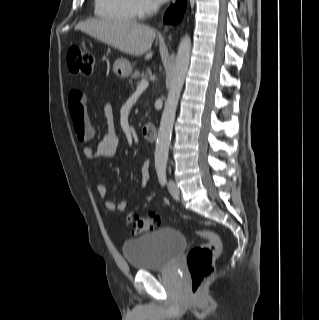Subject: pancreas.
<instances>
[{
    "label": "pancreas",
    "instance_id": "obj_1",
    "mask_svg": "<svg viewBox=\"0 0 319 320\" xmlns=\"http://www.w3.org/2000/svg\"><path fill=\"white\" fill-rule=\"evenodd\" d=\"M139 77H143V74H140V72L138 70H135L131 76L130 82H132L133 79H137Z\"/></svg>",
    "mask_w": 319,
    "mask_h": 320
}]
</instances>
